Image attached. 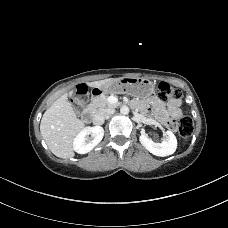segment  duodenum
Wrapping results in <instances>:
<instances>
[{
    "instance_id": "1",
    "label": "duodenum",
    "mask_w": 228,
    "mask_h": 228,
    "mask_svg": "<svg viewBox=\"0 0 228 228\" xmlns=\"http://www.w3.org/2000/svg\"><path fill=\"white\" fill-rule=\"evenodd\" d=\"M95 98V97H94ZM93 98V99H94ZM92 120V110L91 109H86L83 113V121L85 123H89Z\"/></svg>"
}]
</instances>
